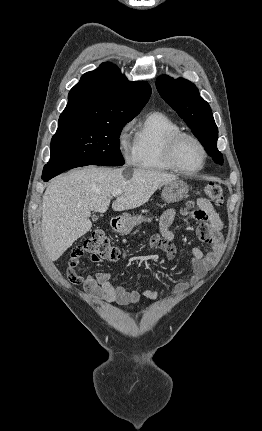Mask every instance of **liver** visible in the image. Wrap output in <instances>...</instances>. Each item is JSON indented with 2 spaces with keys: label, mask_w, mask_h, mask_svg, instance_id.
<instances>
[{
  "label": "liver",
  "mask_w": 262,
  "mask_h": 431,
  "mask_svg": "<svg viewBox=\"0 0 262 431\" xmlns=\"http://www.w3.org/2000/svg\"><path fill=\"white\" fill-rule=\"evenodd\" d=\"M123 171L89 166L51 181L42 205V242L51 261L91 229V211L108 210L113 191H122L112 204L113 210L124 211L144 205L158 188L178 178L138 168L126 178Z\"/></svg>",
  "instance_id": "obj_1"
}]
</instances>
